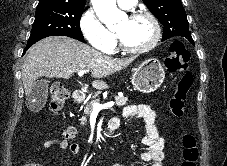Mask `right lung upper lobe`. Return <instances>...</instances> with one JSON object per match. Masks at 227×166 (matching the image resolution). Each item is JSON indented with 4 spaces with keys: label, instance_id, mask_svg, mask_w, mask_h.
Instances as JSON below:
<instances>
[{
    "label": "right lung upper lobe",
    "instance_id": "1",
    "mask_svg": "<svg viewBox=\"0 0 227 166\" xmlns=\"http://www.w3.org/2000/svg\"><path fill=\"white\" fill-rule=\"evenodd\" d=\"M42 6H70L84 8L85 0H39L37 7Z\"/></svg>",
    "mask_w": 227,
    "mask_h": 166
}]
</instances>
